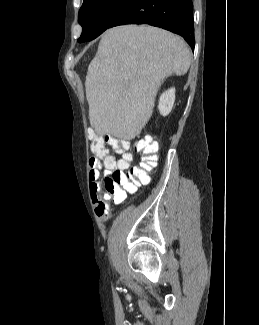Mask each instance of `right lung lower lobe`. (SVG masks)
<instances>
[{"label":"right lung lower lobe","mask_w":259,"mask_h":325,"mask_svg":"<svg viewBox=\"0 0 259 325\" xmlns=\"http://www.w3.org/2000/svg\"><path fill=\"white\" fill-rule=\"evenodd\" d=\"M124 24L160 27L195 46L192 0H128L108 28Z\"/></svg>","instance_id":"obj_1"}]
</instances>
